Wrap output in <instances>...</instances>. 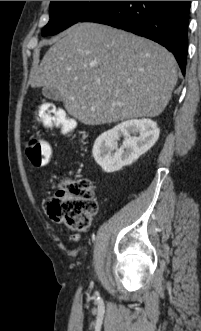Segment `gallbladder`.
Listing matches in <instances>:
<instances>
[{
	"label": "gallbladder",
	"mask_w": 201,
	"mask_h": 331,
	"mask_svg": "<svg viewBox=\"0 0 201 331\" xmlns=\"http://www.w3.org/2000/svg\"><path fill=\"white\" fill-rule=\"evenodd\" d=\"M42 94L45 98L53 101H62V95L56 87H44Z\"/></svg>",
	"instance_id": "1"
}]
</instances>
